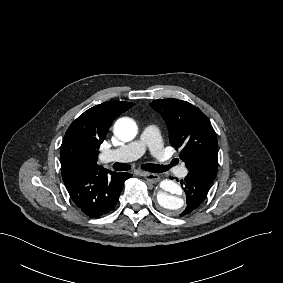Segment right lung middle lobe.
<instances>
[{
  "label": "right lung middle lobe",
  "instance_id": "right-lung-middle-lobe-1",
  "mask_svg": "<svg viewBox=\"0 0 283 283\" xmlns=\"http://www.w3.org/2000/svg\"><path fill=\"white\" fill-rule=\"evenodd\" d=\"M80 164L81 159L78 155H69L66 158H61L62 177L77 172Z\"/></svg>",
  "mask_w": 283,
  "mask_h": 283
}]
</instances>
